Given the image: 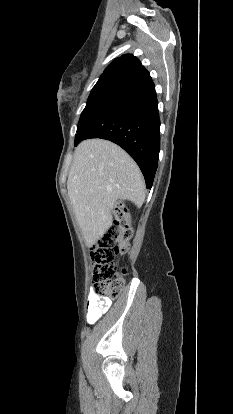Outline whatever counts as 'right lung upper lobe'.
<instances>
[{
	"label": "right lung upper lobe",
	"instance_id": "obj_1",
	"mask_svg": "<svg viewBox=\"0 0 233 414\" xmlns=\"http://www.w3.org/2000/svg\"><path fill=\"white\" fill-rule=\"evenodd\" d=\"M149 72L142 66L140 61L131 54L122 55L116 58L101 75L100 78L106 76H118L125 79L135 81L144 77Z\"/></svg>",
	"mask_w": 233,
	"mask_h": 414
}]
</instances>
